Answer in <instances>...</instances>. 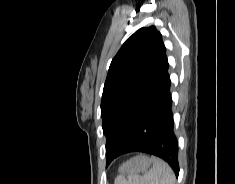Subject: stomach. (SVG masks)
<instances>
[{
	"instance_id": "obj_1",
	"label": "stomach",
	"mask_w": 235,
	"mask_h": 184,
	"mask_svg": "<svg viewBox=\"0 0 235 184\" xmlns=\"http://www.w3.org/2000/svg\"><path fill=\"white\" fill-rule=\"evenodd\" d=\"M150 166H152L151 158H148V156H135V158H131L128 162H124L118 172L121 176L140 174V172L145 174V172H148Z\"/></svg>"
}]
</instances>
